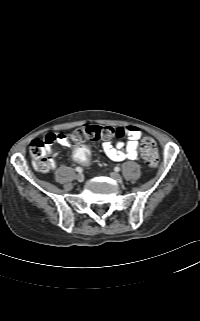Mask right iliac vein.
Segmentation results:
<instances>
[{
  "mask_svg": "<svg viewBox=\"0 0 200 321\" xmlns=\"http://www.w3.org/2000/svg\"><path fill=\"white\" fill-rule=\"evenodd\" d=\"M76 179L78 182H83L84 181V175L79 173L76 175Z\"/></svg>",
  "mask_w": 200,
  "mask_h": 321,
  "instance_id": "right-iliac-vein-1",
  "label": "right iliac vein"
}]
</instances>
